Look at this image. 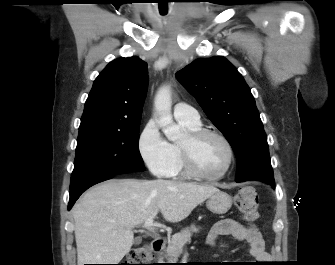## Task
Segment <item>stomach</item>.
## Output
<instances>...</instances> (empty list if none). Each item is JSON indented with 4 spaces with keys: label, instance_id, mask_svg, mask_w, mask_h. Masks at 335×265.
Here are the masks:
<instances>
[{
    "label": "stomach",
    "instance_id": "1",
    "mask_svg": "<svg viewBox=\"0 0 335 265\" xmlns=\"http://www.w3.org/2000/svg\"><path fill=\"white\" fill-rule=\"evenodd\" d=\"M206 206L215 214H224L232 206V197L223 191L215 192L208 198Z\"/></svg>",
    "mask_w": 335,
    "mask_h": 265
}]
</instances>
